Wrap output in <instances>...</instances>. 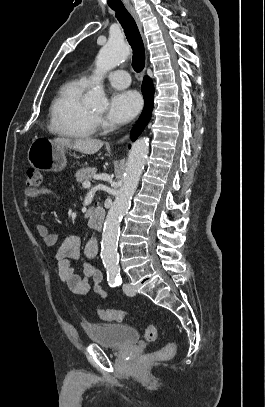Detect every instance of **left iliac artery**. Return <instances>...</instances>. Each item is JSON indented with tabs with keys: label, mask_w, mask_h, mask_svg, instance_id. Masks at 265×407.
I'll return each mask as SVG.
<instances>
[{
	"label": "left iliac artery",
	"mask_w": 265,
	"mask_h": 407,
	"mask_svg": "<svg viewBox=\"0 0 265 407\" xmlns=\"http://www.w3.org/2000/svg\"><path fill=\"white\" fill-rule=\"evenodd\" d=\"M121 284H122V278L121 277L116 278V285L119 286Z\"/></svg>",
	"instance_id": "1"
}]
</instances>
